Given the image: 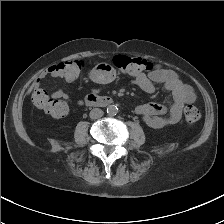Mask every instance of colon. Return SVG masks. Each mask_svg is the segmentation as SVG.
Masks as SVG:
<instances>
[{
	"mask_svg": "<svg viewBox=\"0 0 224 224\" xmlns=\"http://www.w3.org/2000/svg\"><path fill=\"white\" fill-rule=\"evenodd\" d=\"M113 63L119 70L129 76H138L154 69L153 64L147 60L126 55H116L113 58ZM83 66L82 60L71 59L57 63L56 70L61 75V78L72 81L79 76ZM32 100L36 107L54 118L65 117L70 109L67 101L51 97L44 90L35 91ZM200 117L201 113L194 105H187L184 108V118L187 123L195 124L200 120Z\"/></svg>",
	"mask_w": 224,
	"mask_h": 224,
	"instance_id": "colon-1",
	"label": "colon"
}]
</instances>
